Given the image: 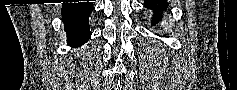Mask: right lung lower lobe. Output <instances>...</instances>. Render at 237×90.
I'll return each instance as SVG.
<instances>
[{"label":"right lung lower lobe","mask_w":237,"mask_h":90,"mask_svg":"<svg viewBox=\"0 0 237 90\" xmlns=\"http://www.w3.org/2000/svg\"><path fill=\"white\" fill-rule=\"evenodd\" d=\"M92 11L93 3L90 2L62 4V20L71 47L81 46L90 38L88 19Z\"/></svg>","instance_id":"98d812e1"}]
</instances>
